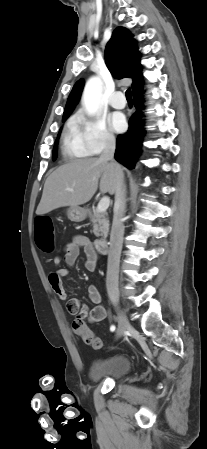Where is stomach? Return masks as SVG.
<instances>
[{
	"label": "stomach",
	"mask_w": 207,
	"mask_h": 449,
	"mask_svg": "<svg viewBox=\"0 0 207 449\" xmlns=\"http://www.w3.org/2000/svg\"><path fill=\"white\" fill-rule=\"evenodd\" d=\"M65 213L72 222H81L87 216V210L79 206H70L66 209Z\"/></svg>",
	"instance_id": "1"
}]
</instances>
